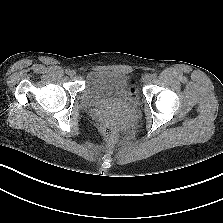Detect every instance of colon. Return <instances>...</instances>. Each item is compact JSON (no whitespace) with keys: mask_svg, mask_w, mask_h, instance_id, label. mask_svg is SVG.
<instances>
[{"mask_svg":"<svg viewBox=\"0 0 223 223\" xmlns=\"http://www.w3.org/2000/svg\"><path fill=\"white\" fill-rule=\"evenodd\" d=\"M102 129H103V133L104 135L107 137V138H111L115 135L116 133V126L115 124L110 121V120H106L104 121L103 123V126H102Z\"/></svg>","mask_w":223,"mask_h":223,"instance_id":"1","label":"colon"}]
</instances>
